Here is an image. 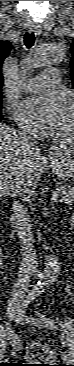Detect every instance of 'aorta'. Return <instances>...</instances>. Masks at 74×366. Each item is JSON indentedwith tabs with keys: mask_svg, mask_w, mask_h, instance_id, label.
Listing matches in <instances>:
<instances>
[{
	"mask_svg": "<svg viewBox=\"0 0 74 366\" xmlns=\"http://www.w3.org/2000/svg\"><path fill=\"white\" fill-rule=\"evenodd\" d=\"M65 48L58 43H41L24 59V69L29 72L41 67L57 66L64 60ZM56 262V257L47 260L46 276H50V265Z\"/></svg>",
	"mask_w": 74,
	"mask_h": 366,
	"instance_id": "obj_1",
	"label": "aorta"
}]
</instances>
